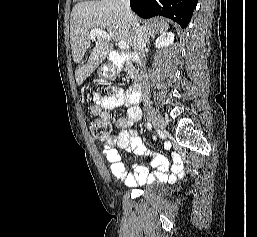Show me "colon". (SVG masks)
Segmentation results:
<instances>
[{
    "label": "colon",
    "instance_id": "1",
    "mask_svg": "<svg viewBox=\"0 0 257 237\" xmlns=\"http://www.w3.org/2000/svg\"><path fill=\"white\" fill-rule=\"evenodd\" d=\"M105 86L103 83H99L97 86V91L90 94V97L95 100L97 97H100L98 94L100 93L102 89H104ZM110 89L106 90V93H111ZM90 128L93 137L97 141H107L111 134V125L109 122L101 119H94L90 123Z\"/></svg>",
    "mask_w": 257,
    "mask_h": 237
}]
</instances>
